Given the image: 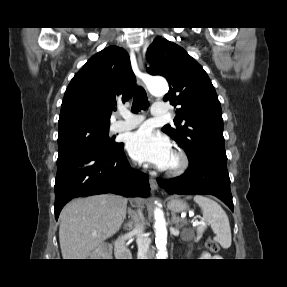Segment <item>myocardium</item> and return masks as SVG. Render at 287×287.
<instances>
[{
  "label": "myocardium",
  "mask_w": 287,
  "mask_h": 287,
  "mask_svg": "<svg viewBox=\"0 0 287 287\" xmlns=\"http://www.w3.org/2000/svg\"><path fill=\"white\" fill-rule=\"evenodd\" d=\"M175 163L165 168V172L169 176H180L186 172L189 167V158L187 154L179 149L172 152Z\"/></svg>",
  "instance_id": "1"
}]
</instances>
